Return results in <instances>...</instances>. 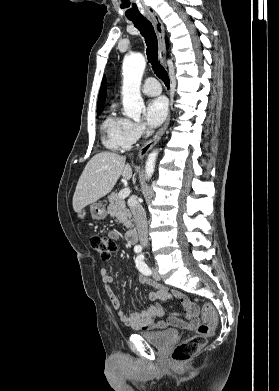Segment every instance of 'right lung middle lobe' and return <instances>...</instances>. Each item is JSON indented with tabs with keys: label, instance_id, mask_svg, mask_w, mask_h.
<instances>
[{
	"label": "right lung middle lobe",
	"instance_id": "1",
	"mask_svg": "<svg viewBox=\"0 0 279 391\" xmlns=\"http://www.w3.org/2000/svg\"><path fill=\"white\" fill-rule=\"evenodd\" d=\"M102 112V108L97 109V113L100 114Z\"/></svg>",
	"mask_w": 279,
	"mask_h": 391
}]
</instances>
